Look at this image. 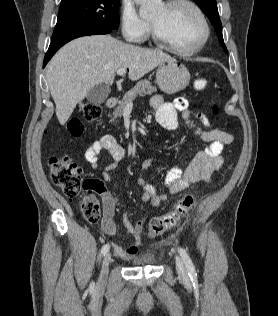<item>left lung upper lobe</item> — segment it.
<instances>
[{
  "instance_id": "obj_1",
  "label": "left lung upper lobe",
  "mask_w": 278,
  "mask_h": 316,
  "mask_svg": "<svg viewBox=\"0 0 278 316\" xmlns=\"http://www.w3.org/2000/svg\"><path fill=\"white\" fill-rule=\"evenodd\" d=\"M202 11L208 16L210 22L215 28V31L219 37V41L222 47L227 51L222 35V24L218 14V8L216 5V0H195Z\"/></svg>"
}]
</instances>
